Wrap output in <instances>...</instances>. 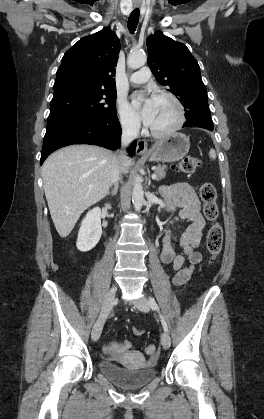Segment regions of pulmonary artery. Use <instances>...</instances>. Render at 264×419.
<instances>
[{
  "label": "pulmonary artery",
  "instance_id": "pulmonary-artery-1",
  "mask_svg": "<svg viewBox=\"0 0 264 419\" xmlns=\"http://www.w3.org/2000/svg\"><path fill=\"white\" fill-rule=\"evenodd\" d=\"M149 78H150V69L148 67H143L131 75L130 81L133 84H142L148 81Z\"/></svg>",
  "mask_w": 264,
  "mask_h": 419
}]
</instances>
